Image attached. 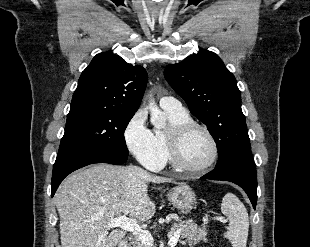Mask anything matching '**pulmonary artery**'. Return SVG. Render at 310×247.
I'll return each instance as SVG.
<instances>
[{"instance_id":"e3ab8cb5","label":"pulmonary artery","mask_w":310,"mask_h":247,"mask_svg":"<svg viewBox=\"0 0 310 247\" xmlns=\"http://www.w3.org/2000/svg\"><path fill=\"white\" fill-rule=\"evenodd\" d=\"M160 106L163 110L170 111L173 113L177 114L187 113V110L181 104V102L172 96L162 97L160 100Z\"/></svg>"}]
</instances>
